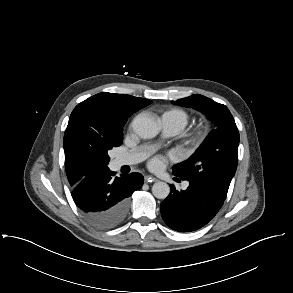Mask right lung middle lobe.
<instances>
[{"label": "right lung middle lobe", "mask_w": 293, "mask_h": 293, "mask_svg": "<svg viewBox=\"0 0 293 293\" xmlns=\"http://www.w3.org/2000/svg\"><path fill=\"white\" fill-rule=\"evenodd\" d=\"M80 116L73 148L76 163L86 173L108 168V151L122 144L123 126L127 119L105 114L100 105L93 101L83 103ZM87 220L97 227L112 228L123 217L102 216Z\"/></svg>", "instance_id": "1"}]
</instances>
